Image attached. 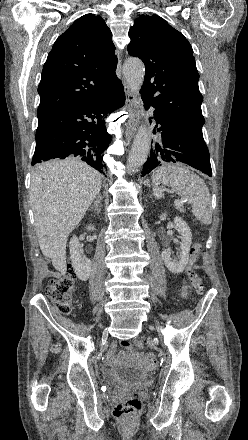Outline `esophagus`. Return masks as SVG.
Segmentation results:
<instances>
[{"label":"esophagus","instance_id":"34e87169","mask_svg":"<svg viewBox=\"0 0 248 440\" xmlns=\"http://www.w3.org/2000/svg\"><path fill=\"white\" fill-rule=\"evenodd\" d=\"M126 88V104L129 111V119L126 126V139L128 142L133 138L138 125V101L135 93L129 86Z\"/></svg>","mask_w":248,"mask_h":440}]
</instances>
